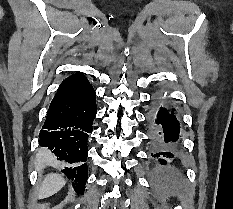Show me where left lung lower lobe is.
<instances>
[{"label": "left lung lower lobe", "mask_w": 233, "mask_h": 209, "mask_svg": "<svg viewBox=\"0 0 233 209\" xmlns=\"http://www.w3.org/2000/svg\"><path fill=\"white\" fill-rule=\"evenodd\" d=\"M156 150L152 155L158 167L170 168L177 157L179 121L174 110L159 108L155 115Z\"/></svg>", "instance_id": "1"}]
</instances>
